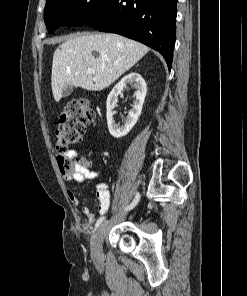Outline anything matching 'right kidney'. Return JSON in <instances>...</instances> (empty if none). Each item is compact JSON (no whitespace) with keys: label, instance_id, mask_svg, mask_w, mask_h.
<instances>
[{"label":"right kidney","instance_id":"obj_1","mask_svg":"<svg viewBox=\"0 0 247 296\" xmlns=\"http://www.w3.org/2000/svg\"><path fill=\"white\" fill-rule=\"evenodd\" d=\"M128 83H134L136 92L134 93L135 100L133 101L132 109L129 111L126 119L124 120V125L119 126L116 124L113 115L114 107L118 101V95L122 92L124 87ZM147 92L146 82L139 73L131 72L128 75L124 76L112 89L107 98V125L110 134L115 138H120L129 133V131L136 124L138 117L141 114L143 103L145 100Z\"/></svg>","mask_w":247,"mask_h":296}]
</instances>
